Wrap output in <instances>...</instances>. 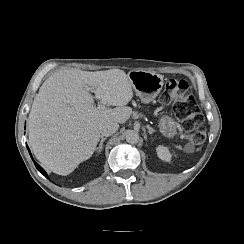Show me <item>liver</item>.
<instances>
[{"label": "liver", "mask_w": 244, "mask_h": 244, "mask_svg": "<svg viewBox=\"0 0 244 244\" xmlns=\"http://www.w3.org/2000/svg\"><path fill=\"white\" fill-rule=\"evenodd\" d=\"M88 88L95 89L102 107L94 105ZM133 96L132 84L120 69L54 73L41 85L29 114V143L36 158L49 170L69 175L92 157L101 125L130 119L133 110L126 105Z\"/></svg>", "instance_id": "6515ba94"}]
</instances>
